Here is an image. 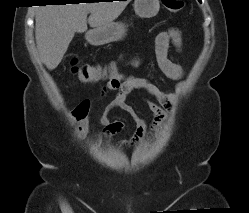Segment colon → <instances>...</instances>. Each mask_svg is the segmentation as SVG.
<instances>
[{
  "mask_svg": "<svg viewBox=\"0 0 249 213\" xmlns=\"http://www.w3.org/2000/svg\"><path fill=\"white\" fill-rule=\"evenodd\" d=\"M163 6L170 12H179L183 9V0H162ZM71 71L81 81L88 83L97 79H106L116 74L113 67L102 68L97 65L80 64L77 59L71 61Z\"/></svg>",
  "mask_w": 249,
  "mask_h": 213,
  "instance_id": "5ec220e1",
  "label": "colon"
}]
</instances>
